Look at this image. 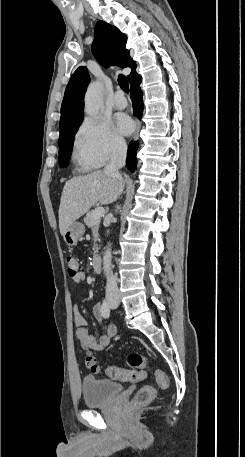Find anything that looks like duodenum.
Returning a JSON list of instances; mask_svg holds the SVG:
<instances>
[{
	"label": "duodenum",
	"mask_w": 245,
	"mask_h": 457,
	"mask_svg": "<svg viewBox=\"0 0 245 457\" xmlns=\"http://www.w3.org/2000/svg\"><path fill=\"white\" fill-rule=\"evenodd\" d=\"M102 266V258L100 255H95L92 259V268L95 272H99Z\"/></svg>",
	"instance_id": "1"
}]
</instances>
